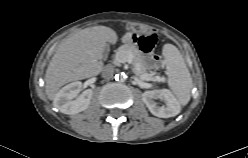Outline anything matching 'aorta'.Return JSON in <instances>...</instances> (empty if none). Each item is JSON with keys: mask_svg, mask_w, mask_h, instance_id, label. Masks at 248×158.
Listing matches in <instances>:
<instances>
[{"mask_svg": "<svg viewBox=\"0 0 248 158\" xmlns=\"http://www.w3.org/2000/svg\"><path fill=\"white\" fill-rule=\"evenodd\" d=\"M116 79L119 80V75H117ZM120 80L121 81L125 80V75L124 74L120 75Z\"/></svg>", "mask_w": 248, "mask_h": 158, "instance_id": "obj_1", "label": "aorta"}]
</instances>
